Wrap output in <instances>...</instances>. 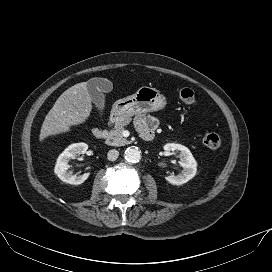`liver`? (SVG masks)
Here are the masks:
<instances>
[{"label":"liver","mask_w":272,"mask_h":272,"mask_svg":"<svg viewBox=\"0 0 272 272\" xmlns=\"http://www.w3.org/2000/svg\"><path fill=\"white\" fill-rule=\"evenodd\" d=\"M87 82L73 85L64 91L46 115L39 140L71 131L72 126L83 124L92 110Z\"/></svg>","instance_id":"6515ba94"}]
</instances>
